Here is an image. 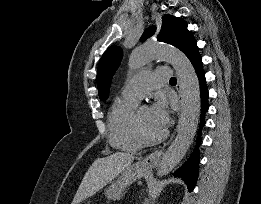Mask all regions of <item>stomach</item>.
I'll return each mask as SVG.
<instances>
[{
  "label": "stomach",
  "mask_w": 261,
  "mask_h": 204,
  "mask_svg": "<svg viewBox=\"0 0 261 204\" xmlns=\"http://www.w3.org/2000/svg\"><path fill=\"white\" fill-rule=\"evenodd\" d=\"M147 171L148 169L142 167L139 162L130 165L115 181L110 182V185L105 189V195L108 199L119 200L125 189L140 179Z\"/></svg>",
  "instance_id": "obj_1"
}]
</instances>
